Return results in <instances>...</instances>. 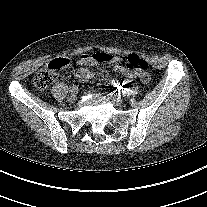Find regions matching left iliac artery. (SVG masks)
Masks as SVG:
<instances>
[{
	"instance_id": "left-iliac-artery-1",
	"label": "left iliac artery",
	"mask_w": 207,
	"mask_h": 207,
	"mask_svg": "<svg viewBox=\"0 0 207 207\" xmlns=\"http://www.w3.org/2000/svg\"><path fill=\"white\" fill-rule=\"evenodd\" d=\"M117 96H118V97H121V98H124V97H125V94L122 93L121 91H118V92H117Z\"/></svg>"
}]
</instances>
